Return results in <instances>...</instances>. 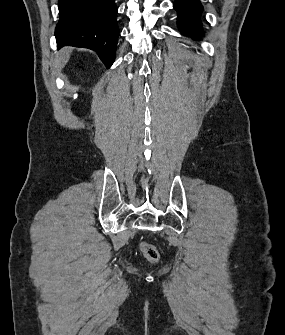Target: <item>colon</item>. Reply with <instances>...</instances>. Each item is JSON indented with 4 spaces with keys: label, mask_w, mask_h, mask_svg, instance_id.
Listing matches in <instances>:
<instances>
[{
    "label": "colon",
    "mask_w": 285,
    "mask_h": 335,
    "mask_svg": "<svg viewBox=\"0 0 285 335\" xmlns=\"http://www.w3.org/2000/svg\"><path fill=\"white\" fill-rule=\"evenodd\" d=\"M140 251L143 256L152 263H155L159 259V252L156 246L147 242H141L139 245Z\"/></svg>",
    "instance_id": "1"
}]
</instances>
